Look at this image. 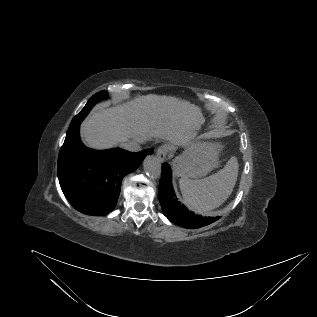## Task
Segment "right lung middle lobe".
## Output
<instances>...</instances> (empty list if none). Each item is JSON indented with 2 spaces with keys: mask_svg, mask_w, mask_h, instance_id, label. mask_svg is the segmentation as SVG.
<instances>
[{
  "mask_svg": "<svg viewBox=\"0 0 317 317\" xmlns=\"http://www.w3.org/2000/svg\"><path fill=\"white\" fill-rule=\"evenodd\" d=\"M108 97L107 91H101L97 94L93 95L85 105V107L73 118L67 133L72 130L78 123H81L82 120L86 117L89 113L91 108L99 101L106 99Z\"/></svg>",
  "mask_w": 317,
  "mask_h": 317,
  "instance_id": "dd1d6c3e",
  "label": "right lung middle lobe"
}]
</instances>
